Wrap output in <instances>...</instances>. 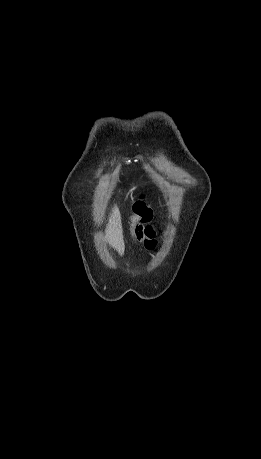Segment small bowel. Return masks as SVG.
<instances>
[{"instance_id":"c3829d8e","label":"small bowel","mask_w":261,"mask_h":459,"mask_svg":"<svg viewBox=\"0 0 261 459\" xmlns=\"http://www.w3.org/2000/svg\"><path fill=\"white\" fill-rule=\"evenodd\" d=\"M150 217V216H149ZM148 217V218H149ZM154 233V232H153ZM152 233V236L151 238H141L139 234H136L137 238L139 240H142L143 243H144V246L148 249V250H153L155 247H156V240L154 239V234Z\"/></svg>"}]
</instances>
